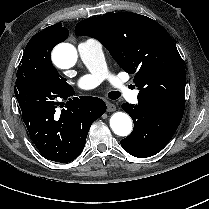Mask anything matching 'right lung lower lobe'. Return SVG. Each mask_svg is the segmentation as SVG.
<instances>
[{
	"label": "right lung lower lobe",
	"mask_w": 209,
	"mask_h": 209,
	"mask_svg": "<svg viewBox=\"0 0 209 209\" xmlns=\"http://www.w3.org/2000/svg\"><path fill=\"white\" fill-rule=\"evenodd\" d=\"M74 94L70 85L61 90L28 79L16 81L15 96L30 138L41 155L51 161L67 163L78 157L90 126L106 111L101 99H71ZM60 98L68 99L61 114L57 109Z\"/></svg>",
	"instance_id": "obj_1"
}]
</instances>
